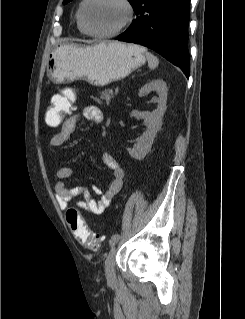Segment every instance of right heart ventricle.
<instances>
[{"mask_svg": "<svg viewBox=\"0 0 245 319\" xmlns=\"http://www.w3.org/2000/svg\"><path fill=\"white\" fill-rule=\"evenodd\" d=\"M82 3H83V1H82V2L80 3V5H79V8H78V10H77L76 18H77V27H78L79 31H80L81 33H85L84 30H83V28H82V26H81V23H80V8H81Z\"/></svg>", "mask_w": 245, "mask_h": 319, "instance_id": "obj_1", "label": "right heart ventricle"}]
</instances>
